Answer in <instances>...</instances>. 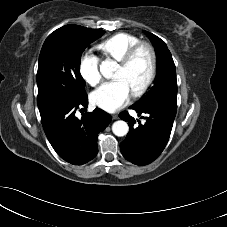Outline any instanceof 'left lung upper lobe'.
Instances as JSON below:
<instances>
[{
    "mask_svg": "<svg viewBox=\"0 0 227 227\" xmlns=\"http://www.w3.org/2000/svg\"><path fill=\"white\" fill-rule=\"evenodd\" d=\"M145 34L155 48L157 77L148 93L130 108H143L151 104H160L177 109V80L172 55L163 40L147 31H145Z\"/></svg>",
    "mask_w": 227,
    "mask_h": 227,
    "instance_id": "left-lung-upper-lobe-1",
    "label": "left lung upper lobe"
}]
</instances>
